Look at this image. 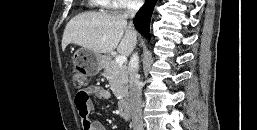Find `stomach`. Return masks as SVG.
<instances>
[{
    "mask_svg": "<svg viewBox=\"0 0 257 130\" xmlns=\"http://www.w3.org/2000/svg\"><path fill=\"white\" fill-rule=\"evenodd\" d=\"M74 60L88 76L98 74L106 63L105 56L83 47L75 52Z\"/></svg>",
    "mask_w": 257,
    "mask_h": 130,
    "instance_id": "obj_1",
    "label": "stomach"
}]
</instances>
